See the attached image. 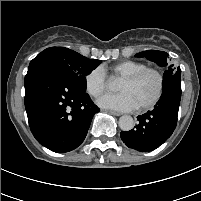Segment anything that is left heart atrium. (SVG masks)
Wrapping results in <instances>:
<instances>
[{
	"label": "left heart atrium",
	"instance_id": "left-heart-atrium-1",
	"mask_svg": "<svg viewBox=\"0 0 201 201\" xmlns=\"http://www.w3.org/2000/svg\"><path fill=\"white\" fill-rule=\"evenodd\" d=\"M97 103L104 109L118 112H127L137 108V104L133 98L126 92L105 94L97 101Z\"/></svg>",
	"mask_w": 201,
	"mask_h": 201
}]
</instances>
